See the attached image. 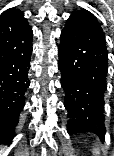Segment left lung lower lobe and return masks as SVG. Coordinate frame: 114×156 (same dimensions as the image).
<instances>
[{"label": "left lung lower lobe", "mask_w": 114, "mask_h": 156, "mask_svg": "<svg viewBox=\"0 0 114 156\" xmlns=\"http://www.w3.org/2000/svg\"><path fill=\"white\" fill-rule=\"evenodd\" d=\"M107 53L97 19L86 10L75 11L62 30L58 48L69 134L93 132L104 139Z\"/></svg>", "instance_id": "1"}]
</instances>
